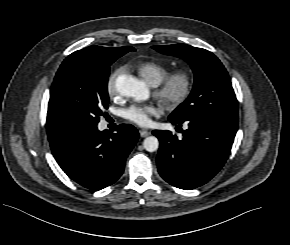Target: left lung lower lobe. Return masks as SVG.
I'll return each instance as SVG.
<instances>
[{
  "mask_svg": "<svg viewBox=\"0 0 290 245\" xmlns=\"http://www.w3.org/2000/svg\"><path fill=\"white\" fill-rule=\"evenodd\" d=\"M180 128L178 139L170 131L154 130L160 148L157 157L158 171L171 185L190 190L207 183L225 164L230 153L238 122L218 119L208 113H195L180 121L169 119Z\"/></svg>",
  "mask_w": 290,
  "mask_h": 245,
  "instance_id": "obj_1",
  "label": "left lung lower lobe"
}]
</instances>
